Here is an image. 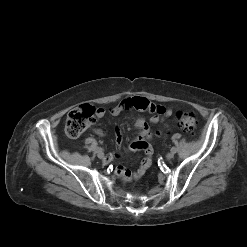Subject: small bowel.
<instances>
[{
    "label": "small bowel",
    "instance_id": "obj_1",
    "mask_svg": "<svg viewBox=\"0 0 247 247\" xmlns=\"http://www.w3.org/2000/svg\"><path fill=\"white\" fill-rule=\"evenodd\" d=\"M127 110H138V111H147L152 114L150 117V123L156 124L164 120L166 117H170L172 115V110L166 108L162 105L155 104L148 99L140 96L128 97L123 99L120 103L115 106H112L108 109V112L111 115H118L123 111ZM106 114L105 108H98L96 111L97 118H103ZM135 127L138 130V136L129 144L130 151H138L142 150L145 152L146 157L143 158L140 162V166L137 171L132 172L129 169L125 168L121 164H118L115 167V174L118 178L123 181H132L140 178L145 171L151 165V156L153 154V148L150 144L149 140L153 138V136H157L160 132L153 133L149 127L148 122L144 118H137L135 120ZM94 132L98 135H103L105 131L101 128H97ZM116 137H115V145H116V158L121 157V144H122V132L120 128H116Z\"/></svg>",
    "mask_w": 247,
    "mask_h": 247
}]
</instances>
